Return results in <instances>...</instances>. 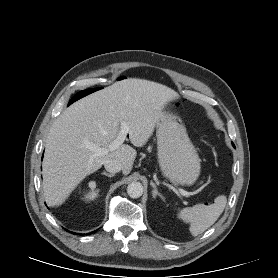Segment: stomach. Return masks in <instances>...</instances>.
Listing matches in <instances>:
<instances>
[{"mask_svg":"<svg viewBox=\"0 0 278 278\" xmlns=\"http://www.w3.org/2000/svg\"><path fill=\"white\" fill-rule=\"evenodd\" d=\"M156 137L163 176L180 185H193L200 174V159L180 118L162 111Z\"/></svg>","mask_w":278,"mask_h":278,"instance_id":"obj_1","label":"stomach"}]
</instances>
